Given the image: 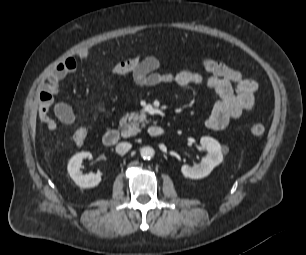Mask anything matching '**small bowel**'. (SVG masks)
Segmentation results:
<instances>
[{
    "label": "small bowel",
    "instance_id": "c3829d8e",
    "mask_svg": "<svg viewBox=\"0 0 306 255\" xmlns=\"http://www.w3.org/2000/svg\"><path fill=\"white\" fill-rule=\"evenodd\" d=\"M89 57L90 53L86 49L77 53V58L80 60L85 61ZM161 63V58L158 56L144 57L139 66L131 72L134 83L142 87L175 83L180 88L205 84L212 90L214 96L212 110L205 120V126L211 130L226 128L232 120L250 112L254 106L258 83L223 62L204 58L202 67L205 74L192 70L161 73L158 71ZM76 68L77 60L74 57H68L48 74L41 85L38 117L50 130L57 129L56 121L49 114L51 108L63 124H71L75 119L72 108L65 103H55L54 96L58 93L60 82Z\"/></svg>",
    "mask_w": 306,
    "mask_h": 255
}]
</instances>
